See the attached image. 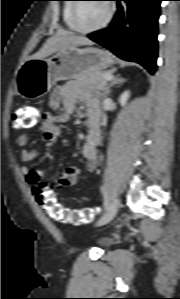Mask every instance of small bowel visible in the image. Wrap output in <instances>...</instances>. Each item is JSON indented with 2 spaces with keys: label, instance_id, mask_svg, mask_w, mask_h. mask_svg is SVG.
Wrapping results in <instances>:
<instances>
[{
  "label": "small bowel",
  "instance_id": "obj_1",
  "mask_svg": "<svg viewBox=\"0 0 180 299\" xmlns=\"http://www.w3.org/2000/svg\"><path fill=\"white\" fill-rule=\"evenodd\" d=\"M83 103L88 107L87 134L85 141L81 147V154L87 161L86 169L90 172L94 171L99 163L98 145L100 142V110L96 97L91 92L85 90L78 82H70L59 88H56L50 96V107L56 112H46L42 118V122L38 127L42 136L47 141H55L61 135V128L58 125L59 120H65L70 114L75 112L78 104ZM30 135L28 132L22 133L16 140L20 147L28 144ZM39 155L36 147L26 148L22 151L21 157L25 163L33 162ZM80 166H70L66 168L62 174L54 180L59 188L69 187L75 184L81 174ZM23 174L26 182L31 185L38 183H47L45 174L41 170H30L23 168Z\"/></svg>",
  "mask_w": 180,
  "mask_h": 299
}]
</instances>
